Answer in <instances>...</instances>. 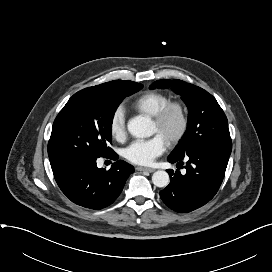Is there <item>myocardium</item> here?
I'll use <instances>...</instances> for the list:
<instances>
[{"mask_svg":"<svg viewBox=\"0 0 272 272\" xmlns=\"http://www.w3.org/2000/svg\"><path fill=\"white\" fill-rule=\"evenodd\" d=\"M173 112L178 115L179 127L177 131L166 140L169 146L177 145L188 131L189 117L186 106L181 101H169L152 116L153 122L158 127H161Z\"/></svg>","mask_w":272,"mask_h":272,"instance_id":"obj_1","label":"myocardium"}]
</instances>
